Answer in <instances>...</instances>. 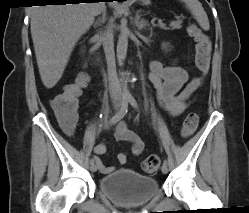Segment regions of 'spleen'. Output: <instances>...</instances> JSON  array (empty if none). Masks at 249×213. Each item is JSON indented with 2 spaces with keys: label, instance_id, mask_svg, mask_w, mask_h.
<instances>
[{
  "label": "spleen",
  "instance_id": "1",
  "mask_svg": "<svg viewBox=\"0 0 249 213\" xmlns=\"http://www.w3.org/2000/svg\"><path fill=\"white\" fill-rule=\"evenodd\" d=\"M186 4V7L191 11L197 20L198 24L203 30H209L210 25L206 12L204 11L202 4L198 0H181Z\"/></svg>",
  "mask_w": 249,
  "mask_h": 213
}]
</instances>
